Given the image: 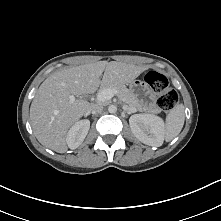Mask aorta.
Wrapping results in <instances>:
<instances>
[{
  "mask_svg": "<svg viewBox=\"0 0 221 221\" xmlns=\"http://www.w3.org/2000/svg\"><path fill=\"white\" fill-rule=\"evenodd\" d=\"M108 111H109V113H116L117 107L115 105H110L108 107Z\"/></svg>",
  "mask_w": 221,
  "mask_h": 221,
  "instance_id": "762f6f07",
  "label": "aorta"
}]
</instances>
